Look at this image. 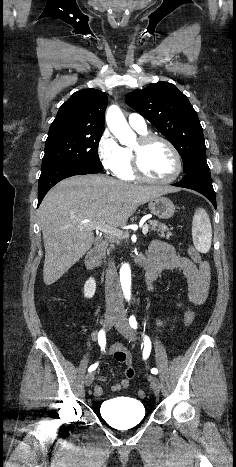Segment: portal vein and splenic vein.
Here are the masks:
<instances>
[{
	"label": "portal vein and splenic vein",
	"mask_w": 236,
	"mask_h": 467,
	"mask_svg": "<svg viewBox=\"0 0 236 467\" xmlns=\"http://www.w3.org/2000/svg\"><path fill=\"white\" fill-rule=\"evenodd\" d=\"M94 228L96 230H100L106 234H110V235H114V236H117V237H122L123 236V231L119 230V229H116L112 226H109L107 224H105V222H100L98 224H95L94 225ZM142 232L144 235H146L148 233V225L145 224L142 228Z\"/></svg>",
	"instance_id": "obj_1"
}]
</instances>
